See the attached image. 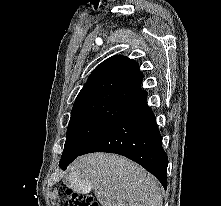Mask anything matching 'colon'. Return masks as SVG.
<instances>
[{
  "instance_id": "colon-1",
  "label": "colon",
  "mask_w": 221,
  "mask_h": 206,
  "mask_svg": "<svg viewBox=\"0 0 221 206\" xmlns=\"http://www.w3.org/2000/svg\"><path fill=\"white\" fill-rule=\"evenodd\" d=\"M66 206H100L91 196L77 195L69 193V199Z\"/></svg>"
}]
</instances>
